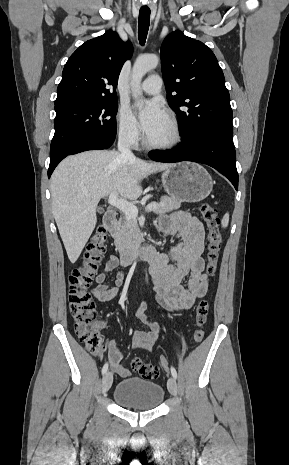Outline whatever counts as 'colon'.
I'll list each match as a JSON object with an SVG mask.
<instances>
[{
	"instance_id": "obj_1",
	"label": "colon",
	"mask_w": 289,
	"mask_h": 465,
	"mask_svg": "<svg viewBox=\"0 0 289 465\" xmlns=\"http://www.w3.org/2000/svg\"><path fill=\"white\" fill-rule=\"evenodd\" d=\"M200 210L202 219L207 227L206 273L211 277L217 269L222 243L220 219L216 208L209 203H203ZM106 244V229L103 226H99L87 245L82 265L75 268L68 277L69 310L74 319L75 333L85 348L92 354L100 353L103 345L95 327V303L88 289L102 261ZM208 312L209 304L203 299L197 304L195 311L196 328L194 330V338L196 341L203 340L205 336L204 325ZM160 365L163 369H166L167 361L164 357L160 358ZM132 366L142 378L147 380L156 379L160 373L159 366L143 362L139 358L133 360Z\"/></svg>"
}]
</instances>
